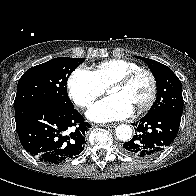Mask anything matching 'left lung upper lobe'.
I'll return each mask as SVG.
<instances>
[{
  "label": "left lung upper lobe",
  "instance_id": "left-lung-upper-lobe-1",
  "mask_svg": "<svg viewBox=\"0 0 196 196\" xmlns=\"http://www.w3.org/2000/svg\"><path fill=\"white\" fill-rule=\"evenodd\" d=\"M147 63L157 84V98L147 114L168 112L181 117L183 112L182 85L167 66L144 57L135 56Z\"/></svg>",
  "mask_w": 196,
  "mask_h": 196
}]
</instances>
